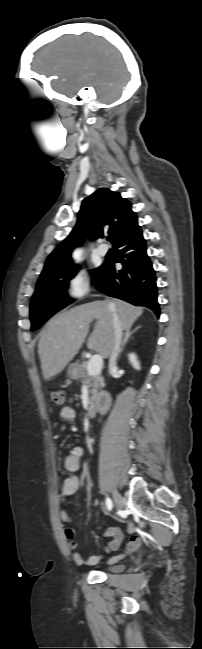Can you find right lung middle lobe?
Segmentation results:
<instances>
[{
    "label": "right lung middle lobe",
    "mask_w": 202,
    "mask_h": 649,
    "mask_svg": "<svg viewBox=\"0 0 202 649\" xmlns=\"http://www.w3.org/2000/svg\"><path fill=\"white\" fill-rule=\"evenodd\" d=\"M99 270L100 267L93 271L95 278ZM77 271L78 269L74 267L61 273L39 278L30 305L32 331L38 329L54 313L72 302L67 296L66 289L69 280L75 276Z\"/></svg>",
    "instance_id": "obj_1"
}]
</instances>
